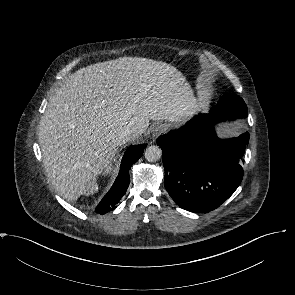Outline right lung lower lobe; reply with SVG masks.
<instances>
[{
	"mask_svg": "<svg viewBox=\"0 0 295 295\" xmlns=\"http://www.w3.org/2000/svg\"><path fill=\"white\" fill-rule=\"evenodd\" d=\"M145 144L129 147L122 159L119 175L117 176L113 186L109 192L103 197L96 208L99 214H105L116 208V204L120 201L126 192L129 183V169L142 156Z\"/></svg>",
	"mask_w": 295,
	"mask_h": 295,
	"instance_id": "1",
	"label": "right lung lower lobe"
}]
</instances>
